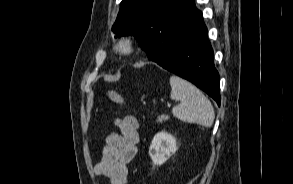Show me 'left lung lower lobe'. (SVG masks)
Here are the masks:
<instances>
[{"label": "left lung lower lobe", "instance_id": "0a47b994", "mask_svg": "<svg viewBox=\"0 0 293 184\" xmlns=\"http://www.w3.org/2000/svg\"><path fill=\"white\" fill-rule=\"evenodd\" d=\"M149 57L164 69L189 80L220 105L219 74L202 12L194 0H183L174 11L169 29Z\"/></svg>", "mask_w": 293, "mask_h": 184}]
</instances>
